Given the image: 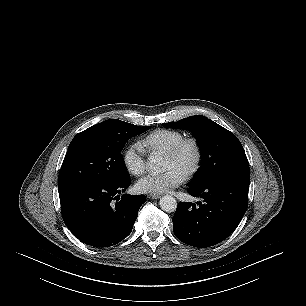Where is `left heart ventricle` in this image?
Returning a JSON list of instances; mask_svg holds the SVG:
<instances>
[{
	"instance_id": "1",
	"label": "left heart ventricle",
	"mask_w": 306,
	"mask_h": 306,
	"mask_svg": "<svg viewBox=\"0 0 306 306\" xmlns=\"http://www.w3.org/2000/svg\"><path fill=\"white\" fill-rule=\"evenodd\" d=\"M195 161V150L191 145L186 146L177 158L171 159L165 156L164 170L175 169L181 175L186 173L193 166Z\"/></svg>"
}]
</instances>
